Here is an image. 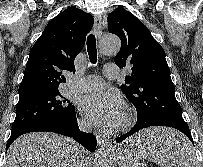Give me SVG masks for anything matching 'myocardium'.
Wrapping results in <instances>:
<instances>
[{
    "mask_svg": "<svg viewBox=\"0 0 203 167\" xmlns=\"http://www.w3.org/2000/svg\"><path fill=\"white\" fill-rule=\"evenodd\" d=\"M131 124V117L130 116H125L122 123H121V127L122 128H126Z\"/></svg>",
    "mask_w": 203,
    "mask_h": 167,
    "instance_id": "f54148a6",
    "label": "myocardium"
}]
</instances>
